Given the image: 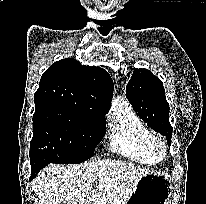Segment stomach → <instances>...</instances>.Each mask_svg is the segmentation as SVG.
Wrapping results in <instances>:
<instances>
[{
    "label": "stomach",
    "instance_id": "0dacf381",
    "mask_svg": "<svg viewBox=\"0 0 206 204\" xmlns=\"http://www.w3.org/2000/svg\"><path fill=\"white\" fill-rule=\"evenodd\" d=\"M172 184L158 173L144 175L136 184L126 204H169Z\"/></svg>",
    "mask_w": 206,
    "mask_h": 204
}]
</instances>
